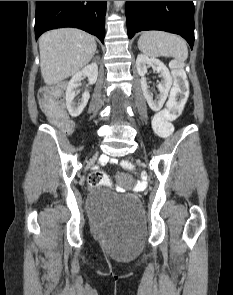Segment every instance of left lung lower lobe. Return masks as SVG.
I'll return each mask as SVG.
<instances>
[{
    "label": "left lung lower lobe",
    "mask_w": 233,
    "mask_h": 295,
    "mask_svg": "<svg viewBox=\"0 0 233 295\" xmlns=\"http://www.w3.org/2000/svg\"><path fill=\"white\" fill-rule=\"evenodd\" d=\"M128 37L145 30H162L181 35L194 44L193 1H126Z\"/></svg>",
    "instance_id": "0a47b994"
}]
</instances>
